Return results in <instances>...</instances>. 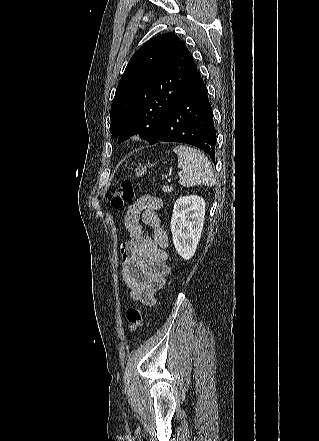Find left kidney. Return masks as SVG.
<instances>
[{"mask_svg": "<svg viewBox=\"0 0 319 441\" xmlns=\"http://www.w3.org/2000/svg\"><path fill=\"white\" fill-rule=\"evenodd\" d=\"M205 201L199 196H184L176 200L171 218L173 244L185 260L192 258L201 238L205 216Z\"/></svg>", "mask_w": 319, "mask_h": 441, "instance_id": "1", "label": "left kidney"}]
</instances>
